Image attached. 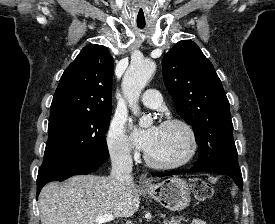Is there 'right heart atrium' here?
I'll use <instances>...</instances> for the list:
<instances>
[{
	"label": "right heart atrium",
	"mask_w": 275,
	"mask_h": 224,
	"mask_svg": "<svg viewBox=\"0 0 275 224\" xmlns=\"http://www.w3.org/2000/svg\"><path fill=\"white\" fill-rule=\"evenodd\" d=\"M107 146L110 154L119 159H131L132 147L126 134L125 121L115 117L109 127L107 134Z\"/></svg>",
	"instance_id": "obj_1"
}]
</instances>
